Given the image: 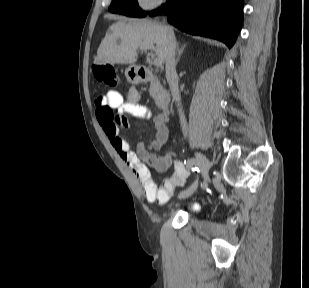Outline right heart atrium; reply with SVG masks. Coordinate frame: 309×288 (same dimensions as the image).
Returning a JSON list of instances; mask_svg holds the SVG:
<instances>
[{"label": "right heart atrium", "instance_id": "1", "mask_svg": "<svg viewBox=\"0 0 309 288\" xmlns=\"http://www.w3.org/2000/svg\"><path fill=\"white\" fill-rule=\"evenodd\" d=\"M166 0H137L140 9L144 11H151L163 5Z\"/></svg>", "mask_w": 309, "mask_h": 288}]
</instances>
